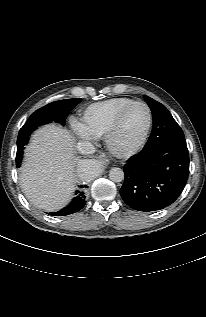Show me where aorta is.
Returning <instances> with one entry per match:
<instances>
[{"mask_svg":"<svg viewBox=\"0 0 206 317\" xmlns=\"http://www.w3.org/2000/svg\"><path fill=\"white\" fill-rule=\"evenodd\" d=\"M99 169L100 166L96 161H86L80 168L81 177L84 179H92L98 175ZM109 178L113 182H121L124 179V171L121 168L114 167L109 171Z\"/></svg>","mask_w":206,"mask_h":317,"instance_id":"aorta-1","label":"aorta"}]
</instances>
